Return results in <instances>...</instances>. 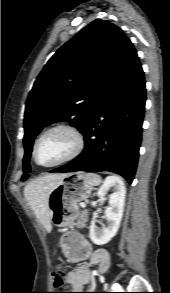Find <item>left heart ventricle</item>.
I'll return each mask as SVG.
<instances>
[{
    "label": "left heart ventricle",
    "mask_w": 170,
    "mask_h": 293,
    "mask_svg": "<svg viewBox=\"0 0 170 293\" xmlns=\"http://www.w3.org/2000/svg\"><path fill=\"white\" fill-rule=\"evenodd\" d=\"M75 148L74 136L65 129L48 133L37 147V160L43 164L55 163L68 156Z\"/></svg>",
    "instance_id": "left-heart-ventricle-1"
}]
</instances>
